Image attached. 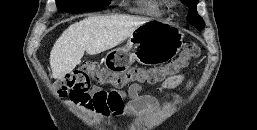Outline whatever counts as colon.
<instances>
[{"mask_svg": "<svg viewBox=\"0 0 257 130\" xmlns=\"http://www.w3.org/2000/svg\"><path fill=\"white\" fill-rule=\"evenodd\" d=\"M200 52L197 43L188 42L179 56L166 65L153 68L131 67L126 71L106 69L96 62H86L57 80L55 91L60 97L69 96L74 100H83L89 97L88 91L92 81L110 84L116 88H122L130 82L156 84L178 74L191 60L197 58Z\"/></svg>", "mask_w": 257, "mask_h": 130, "instance_id": "5ec220e1", "label": "colon"}]
</instances>
